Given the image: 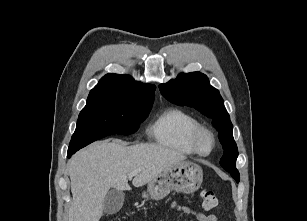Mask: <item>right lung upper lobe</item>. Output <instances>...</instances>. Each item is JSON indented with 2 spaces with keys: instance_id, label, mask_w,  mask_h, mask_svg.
Wrapping results in <instances>:
<instances>
[{
  "instance_id": "cb5924a9",
  "label": "right lung upper lobe",
  "mask_w": 307,
  "mask_h": 221,
  "mask_svg": "<svg viewBox=\"0 0 307 221\" xmlns=\"http://www.w3.org/2000/svg\"><path fill=\"white\" fill-rule=\"evenodd\" d=\"M155 86L144 85L129 75L106 74L90 91L87 102L103 99L154 101Z\"/></svg>"
}]
</instances>
